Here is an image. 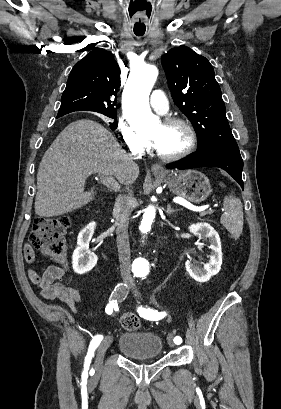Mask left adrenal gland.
I'll use <instances>...</instances> for the list:
<instances>
[{
    "mask_svg": "<svg viewBox=\"0 0 281 409\" xmlns=\"http://www.w3.org/2000/svg\"><path fill=\"white\" fill-rule=\"evenodd\" d=\"M167 209H168V213H170V215H171V213H176V211H179V209H171V205H168Z\"/></svg>",
    "mask_w": 281,
    "mask_h": 409,
    "instance_id": "1",
    "label": "left adrenal gland"
}]
</instances>
